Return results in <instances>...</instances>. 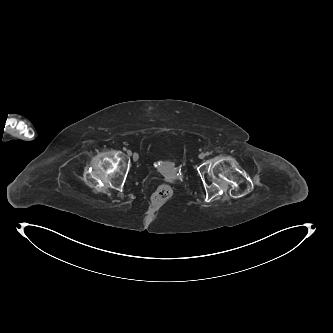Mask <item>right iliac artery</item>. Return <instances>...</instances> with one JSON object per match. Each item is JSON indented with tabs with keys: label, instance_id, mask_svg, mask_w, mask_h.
<instances>
[{
	"label": "right iliac artery",
	"instance_id": "right-iliac-artery-1",
	"mask_svg": "<svg viewBox=\"0 0 333 333\" xmlns=\"http://www.w3.org/2000/svg\"><path fill=\"white\" fill-rule=\"evenodd\" d=\"M123 150L126 151L127 150L126 147H124Z\"/></svg>",
	"mask_w": 333,
	"mask_h": 333
}]
</instances>
